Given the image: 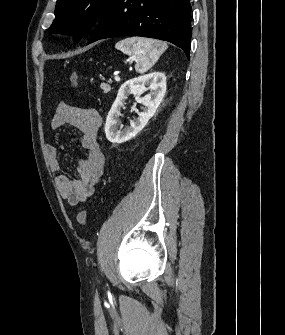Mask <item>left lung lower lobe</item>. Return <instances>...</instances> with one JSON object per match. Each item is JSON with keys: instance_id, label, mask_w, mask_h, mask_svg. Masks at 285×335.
Returning <instances> with one entry per match:
<instances>
[{"instance_id": "0a47b994", "label": "left lung lower lobe", "mask_w": 285, "mask_h": 335, "mask_svg": "<svg viewBox=\"0 0 285 335\" xmlns=\"http://www.w3.org/2000/svg\"><path fill=\"white\" fill-rule=\"evenodd\" d=\"M190 13V0H113L88 44L116 36L156 38L180 47L189 59Z\"/></svg>"}]
</instances>
